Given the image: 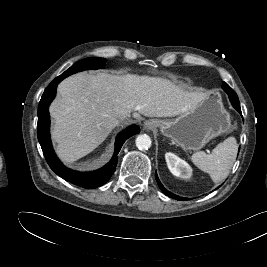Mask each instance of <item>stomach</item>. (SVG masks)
Here are the masks:
<instances>
[{"label": "stomach", "mask_w": 267, "mask_h": 267, "mask_svg": "<svg viewBox=\"0 0 267 267\" xmlns=\"http://www.w3.org/2000/svg\"><path fill=\"white\" fill-rule=\"evenodd\" d=\"M162 134L184 150H200L211 139L228 133L230 114L217 93L207 94L193 109L171 120H156Z\"/></svg>", "instance_id": "1"}]
</instances>
